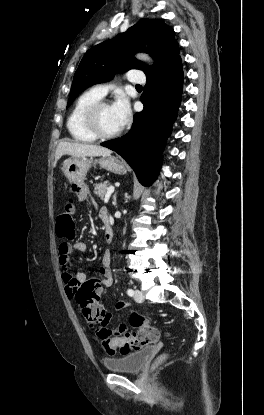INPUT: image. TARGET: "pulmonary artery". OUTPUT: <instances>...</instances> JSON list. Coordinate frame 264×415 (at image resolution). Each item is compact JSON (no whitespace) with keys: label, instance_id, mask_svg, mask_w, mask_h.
I'll use <instances>...</instances> for the list:
<instances>
[{"label":"pulmonary artery","instance_id":"1","mask_svg":"<svg viewBox=\"0 0 264 415\" xmlns=\"http://www.w3.org/2000/svg\"><path fill=\"white\" fill-rule=\"evenodd\" d=\"M128 80L132 84L143 83L145 81V75L142 73L129 74ZM112 88L111 84H98L91 88V90L99 97H104Z\"/></svg>","mask_w":264,"mask_h":415}]
</instances>
